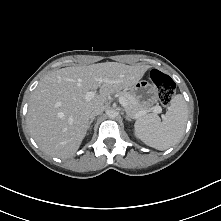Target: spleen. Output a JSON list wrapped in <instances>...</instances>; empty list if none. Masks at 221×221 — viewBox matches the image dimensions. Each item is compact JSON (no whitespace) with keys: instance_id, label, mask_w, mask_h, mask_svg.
I'll return each mask as SVG.
<instances>
[{"instance_id":"obj_1","label":"spleen","mask_w":221,"mask_h":221,"mask_svg":"<svg viewBox=\"0 0 221 221\" xmlns=\"http://www.w3.org/2000/svg\"><path fill=\"white\" fill-rule=\"evenodd\" d=\"M161 121L156 114H148L135 123V131L140 140L157 150H166L177 144L185 131L188 106L181 94L175 95Z\"/></svg>"}]
</instances>
